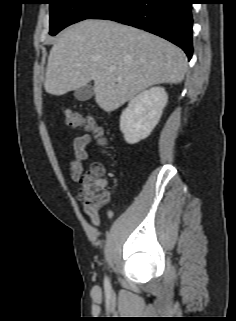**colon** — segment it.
Here are the masks:
<instances>
[{"instance_id":"colon-1","label":"colon","mask_w":236,"mask_h":321,"mask_svg":"<svg viewBox=\"0 0 236 321\" xmlns=\"http://www.w3.org/2000/svg\"><path fill=\"white\" fill-rule=\"evenodd\" d=\"M66 124L71 128H83L90 131L94 134L100 145L106 144L104 128L96 122L93 116L82 115L78 112L67 110ZM104 173L103 165L93 163L77 190L78 198L94 208H100L109 201V194L102 183Z\"/></svg>"}]
</instances>
